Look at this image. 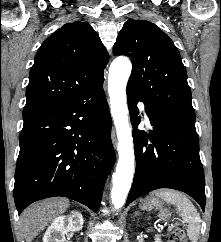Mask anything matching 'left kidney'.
<instances>
[{
    "mask_svg": "<svg viewBox=\"0 0 221 242\" xmlns=\"http://www.w3.org/2000/svg\"><path fill=\"white\" fill-rule=\"evenodd\" d=\"M155 242H162L161 239L159 238V235H156Z\"/></svg>",
    "mask_w": 221,
    "mask_h": 242,
    "instance_id": "left-kidney-1",
    "label": "left kidney"
}]
</instances>
